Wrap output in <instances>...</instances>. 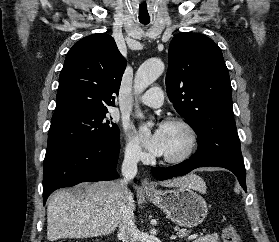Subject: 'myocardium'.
Listing matches in <instances>:
<instances>
[{"instance_id":"obj_1","label":"myocardium","mask_w":279,"mask_h":242,"mask_svg":"<svg viewBox=\"0 0 279 242\" xmlns=\"http://www.w3.org/2000/svg\"><path fill=\"white\" fill-rule=\"evenodd\" d=\"M163 124L182 128L186 134L187 141L181 153L173 156H163L162 160L168 164H180L189 159L194 153L198 143V135L195 128L187 120L180 117L166 119Z\"/></svg>"}]
</instances>
